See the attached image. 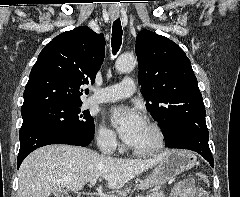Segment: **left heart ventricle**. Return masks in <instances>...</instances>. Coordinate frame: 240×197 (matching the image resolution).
I'll return each mask as SVG.
<instances>
[{
  "label": "left heart ventricle",
  "mask_w": 240,
  "mask_h": 197,
  "mask_svg": "<svg viewBox=\"0 0 240 197\" xmlns=\"http://www.w3.org/2000/svg\"><path fill=\"white\" fill-rule=\"evenodd\" d=\"M154 143V135L152 130L146 124L144 130L142 131L139 138L130 146L132 147H147L151 146Z\"/></svg>",
  "instance_id": "obj_1"
}]
</instances>
